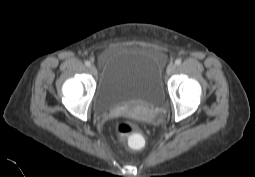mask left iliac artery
<instances>
[{"label":"left iliac artery","mask_w":255,"mask_h":177,"mask_svg":"<svg viewBox=\"0 0 255 177\" xmlns=\"http://www.w3.org/2000/svg\"><path fill=\"white\" fill-rule=\"evenodd\" d=\"M181 62H182L181 59H176L175 64H176V65H180Z\"/></svg>","instance_id":"1"}]
</instances>
